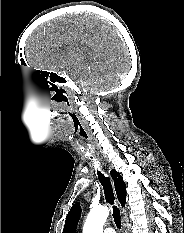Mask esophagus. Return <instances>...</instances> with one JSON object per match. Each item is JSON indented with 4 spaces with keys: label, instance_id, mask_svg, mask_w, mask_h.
<instances>
[{
    "label": "esophagus",
    "instance_id": "obj_1",
    "mask_svg": "<svg viewBox=\"0 0 184 233\" xmlns=\"http://www.w3.org/2000/svg\"><path fill=\"white\" fill-rule=\"evenodd\" d=\"M122 227H123V233H127L125 217H122Z\"/></svg>",
    "mask_w": 184,
    "mask_h": 233
}]
</instances>
